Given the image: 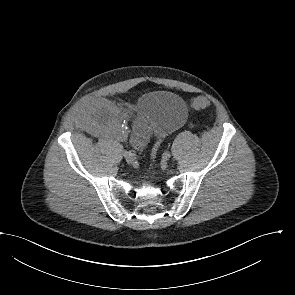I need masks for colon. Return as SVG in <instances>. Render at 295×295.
I'll return each instance as SVG.
<instances>
[{
	"label": "colon",
	"mask_w": 295,
	"mask_h": 295,
	"mask_svg": "<svg viewBox=\"0 0 295 295\" xmlns=\"http://www.w3.org/2000/svg\"><path fill=\"white\" fill-rule=\"evenodd\" d=\"M191 105L194 108L202 109L210 106V101L205 97H197L191 101ZM157 154V148L152 151V156L155 157Z\"/></svg>",
	"instance_id": "colon-1"
}]
</instances>
